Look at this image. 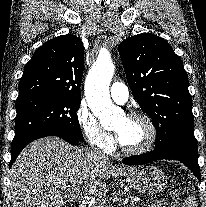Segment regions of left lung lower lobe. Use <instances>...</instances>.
<instances>
[{"label": "left lung lower lobe", "mask_w": 206, "mask_h": 207, "mask_svg": "<svg viewBox=\"0 0 206 207\" xmlns=\"http://www.w3.org/2000/svg\"><path fill=\"white\" fill-rule=\"evenodd\" d=\"M160 159H173L184 163L200 180V167L198 165V149L194 145H176L163 150H154L145 154L129 157L125 164L143 165Z\"/></svg>", "instance_id": "obj_1"}]
</instances>
